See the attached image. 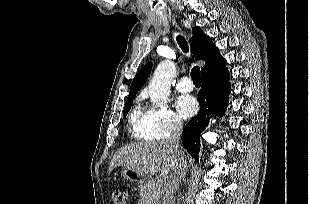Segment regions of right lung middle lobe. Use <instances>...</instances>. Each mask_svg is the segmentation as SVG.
<instances>
[{
  "label": "right lung middle lobe",
  "mask_w": 309,
  "mask_h": 204,
  "mask_svg": "<svg viewBox=\"0 0 309 204\" xmlns=\"http://www.w3.org/2000/svg\"><path fill=\"white\" fill-rule=\"evenodd\" d=\"M132 102H133V98L127 100V103L125 105L124 112H123L124 118L126 117L128 111H129V109H130V107L132 105Z\"/></svg>",
  "instance_id": "1"
}]
</instances>
